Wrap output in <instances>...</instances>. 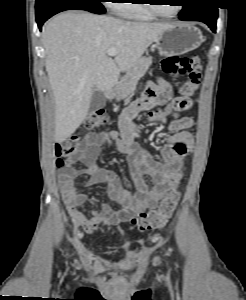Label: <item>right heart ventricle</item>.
<instances>
[{
	"mask_svg": "<svg viewBox=\"0 0 246 300\" xmlns=\"http://www.w3.org/2000/svg\"><path fill=\"white\" fill-rule=\"evenodd\" d=\"M144 0H126L123 3H118L115 7L116 13L124 18L136 21H154L157 16L154 15L143 3Z\"/></svg>",
	"mask_w": 246,
	"mask_h": 300,
	"instance_id": "1",
	"label": "right heart ventricle"
}]
</instances>
